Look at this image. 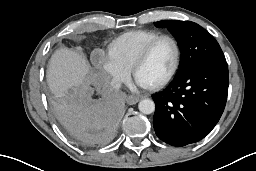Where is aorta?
Segmentation results:
<instances>
[{
    "label": "aorta",
    "instance_id": "1",
    "mask_svg": "<svg viewBox=\"0 0 256 171\" xmlns=\"http://www.w3.org/2000/svg\"><path fill=\"white\" fill-rule=\"evenodd\" d=\"M138 109L143 114H151L155 111V103L151 99H143L139 102Z\"/></svg>",
    "mask_w": 256,
    "mask_h": 171
}]
</instances>
